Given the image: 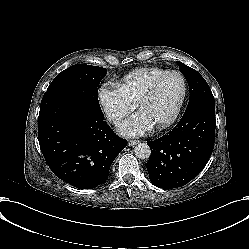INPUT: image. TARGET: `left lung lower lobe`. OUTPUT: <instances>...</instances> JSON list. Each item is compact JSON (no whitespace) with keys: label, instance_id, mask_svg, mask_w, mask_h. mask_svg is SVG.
Returning a JSON list of instances; mask_svg holds the SVG:
<instances>
[{"label":"left lung lower lobe","instance_id":"left-lung-lower-lobe-1","mask_svg":"<svg viewBox=\"0 0 249 249\" xmlns=\"http://www.w3.org/2000/svg\"><path fill=\"white\" fill-rule=\"evenodd\" d=\"M215 124V107H203L183 115L163 137L147 141L152 151L146 167L152 183L180 187L199 174L214 148Z\"/></svg>","mask_w":249,"mask_h":249}]
</instances>
